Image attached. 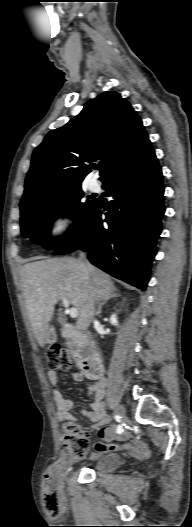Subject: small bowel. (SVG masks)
<instances>
[{"mask_svg":"<svg viewBox=\"0 0 192 527\" xmlns=\"http://www.w3.org/2000/svg\"><path fill=\"white\" fill-rule=\"evenodd\" d=\"M73 379L78 382L84 379L90 381V384L87 386V393L93 397L91 408L82 409L81 414L92 422L91 429L98 430L100 438L104 440V442H99L95 445L94 454L126 449L133 457L141 458L146 456L148 454V448L143 442L134 438L126 430H122L120 433L116 432L117 435L114 436L115 428L108 425L110 418L105 410V380L103 378L98 379L88 376L84 372L74 373ZM48 380L53 385L58 384L56 371H48ZM53 397L57 407V419L60 422L75 420L74 416L70 413L74 405L73 401L65 398L60 390H54ZM113 439L117 442H113Z\"/></svg>","mask_w":192,"mask_h":527,"instance_id":"small-bowel-1","label":"small bowel"}]
</instances>
